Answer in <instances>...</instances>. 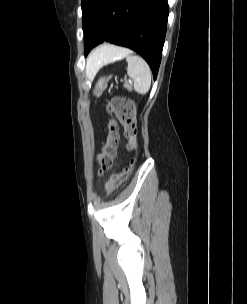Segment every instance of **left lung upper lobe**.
<instances>
[{
    "label": "left lung upper lobe",
    "instance_id": "obj_1",
    "mask_svg": "<svg viewBox=\"0 0 247 304\" xmlns=\"http://www.w3.org/2000/svg\"><path fill=\"white\" fill-rule=\"evenodd\" d=\"M104 0H82V18H83V29L92 20H94L103 4Z\"/></svg>",
    "mask_w": 247,
    "mask_h": 304
}]
</instances>
